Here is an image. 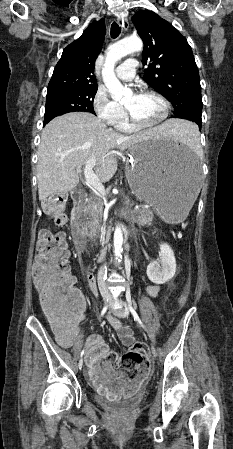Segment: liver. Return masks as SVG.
<instances>
[{
	"label": "liver",
	"mask_w": 233,
	"mask_h": 449,
	"mask_svg": "<svg viewBox=\"0 0 233 449\" xmlns=\"http://www.w3.org/2000/svg\"><path fill=\"white\" fill-rule=\"evenodd\" d=\"M179 120H168L154 128L122 135L87 112L54 118L42 131L38 149L37 183L39 200L72 191L79 183L77 169L96 158V175L102 182L116 173L121 152L142 142H166L177 135Z\"/></svg>",
	"instance_id": "1"
}]
</instances>
